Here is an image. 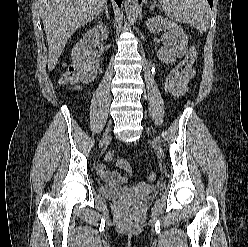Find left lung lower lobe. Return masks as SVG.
Segmentation results:
<instances>
[{
	"mask_svg": "<svg viewBox=\"0 0 248 247\" xmlns=\"http://www.w3.org/2000/svg\"><path fill=\"white\" fill-rule=\"evenodd\" d=\"M142 0H139V2H141ZM209 4H210V7L212 8V5H213V0H208Z\"/></svg>",
	"mask_w": 248,
	"mask_h": 247,
	"instance_id": "left-lung-lower-lobe-1",
	"label": "left lung lower lobe"
}]
</instances>
